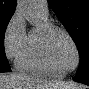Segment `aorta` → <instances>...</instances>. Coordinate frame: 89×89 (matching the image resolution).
Masks as SVG:
<instances>
[{
  "mask_svg": "<svg viewBox=\"0 0 89 89\" xmlns=\"http://www.w3.org/2000/svg\"><path fill=\"white\" fill-rule=\"evenodd\" d=\"M18 8L30 24L35 25L38 23L39 16L36 11L34 0H19Z\"/></svg>",
  "mask_w": 89,
  "mask_h": 89,
  "instance_id": "1",
  "label": "aorta"
}]
</instances>
